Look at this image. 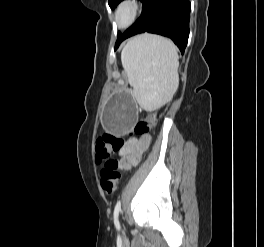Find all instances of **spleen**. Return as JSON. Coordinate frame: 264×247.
Here are the masks:
<instances>
[{
    "label": "spleen",
    "instance_id": "1",
    "mask_svg": "<svg viewBox=\"0 0 264 247\" xmlns=\"http://www.w3.org/2000/svg\"><path fill=\"white\" fill-rule=\"evenodd\" d=\"M178 53L168 39L142 34L122 50L121 62L138 100L166 103L179 86Z\"/></svg>",
    "mask_w": 264,
    "mask_h": 247
}]
</instances>
